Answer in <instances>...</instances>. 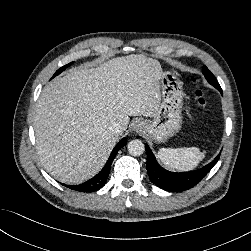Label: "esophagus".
<instances>
[{
	"instance_id": "esophagus-1",
	"label": "esophagus",
	"mask_w": 251,
	"mask_h": 251,
	"mask_svg": "<svg viewBox=\"0 0 251 251\" xmlns=\"http://www.w3.org/2000/svg\"><path fill=\"white\" fill-rule=\"evenodd\" d=\"M135 128H136L137 131H140L141 130V124H136Z\"/></svg>"
}]
</instances>
